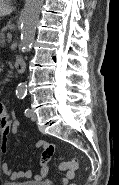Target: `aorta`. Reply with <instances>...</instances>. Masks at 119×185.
<instances>
[{
	"instance_id": "obj_1",
	"label": "aorta",
	"mask_w": 119,
	"mask_h": 185,
	"mask_svg": "<svg viewBox=\"0 0 119 185\" xmlns=\"http://www.w3.org/2000/svg\"><path fill=\"white\" fill-rule=\"evenodd\" d=\"M42 4L43 0H26L20 26L21 44L24 52L28 53L31 51ZM26 92V84L19 83L16 93L25 95Z\"/></svg>"
}]
</instances>
